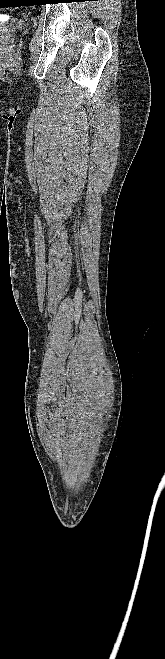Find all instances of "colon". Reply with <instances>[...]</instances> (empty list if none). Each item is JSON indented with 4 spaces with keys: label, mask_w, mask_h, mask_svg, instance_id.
I'll return each instance as SVG.
<instances>
[{
    "label": "colon",
    "mask_w": 165,
    "mask_h": 659,
    "mask_svg": "<svg viewBox=\"0 0 165 659\" xmlns=\"http://www.w3.org/2000/svg\"><path fill=\"white\" fill-rule=\"evenodd\" d=\"M11 45H12V39L10 37L5 38L4 41L2 42V47L3 48L8 49V48H10Z\"/></svg>",
    "instance_id": "5ec220e1"
}]
</instances>
